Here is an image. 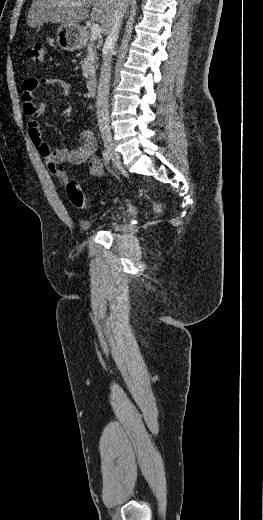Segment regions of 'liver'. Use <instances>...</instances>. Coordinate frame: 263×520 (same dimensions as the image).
I'll return each mask as SVG.
<instances>
[{
  "mask_svg": "<svg viewBox=\"0 0 263 520\" xmlns=\"http://www.w3.org/2000/svg\"><path fill=\"white\" fill-rule=\"evenodd\" d=\"M129 0H124V11ZM82 3L81 6L72 5ZM118 5L116 0H33L27 16V23L35 28L45 22L78 24L85 20L91 11V20L101 24L106 34L112 24Z\"/></svg>",
  "mask_w": 263,
  "mask_h": 520,
  "instance_id": "6515ba94",
  "label": "liver"
}]
</instances>
